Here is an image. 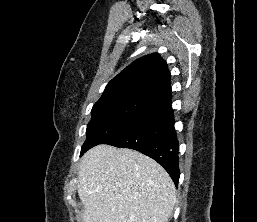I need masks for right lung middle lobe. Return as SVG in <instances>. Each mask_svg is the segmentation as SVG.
Listing matches in <instances>:
<instances>
[{
	"label": "right lung middle lobe",
	"instance_id": "dd1d6c3e",
	"mask_svg": "<svg viewBox=\"0 0 257 222\" xmlns=\"http://www.w3.org/2000/svg\"><path fill=\"white\" fill-rule=\"evenodd\" d=\"M161 109L159 104L143 99L98 100L91 111L92 117L87 126V139L81 148V155L89 148L136 126Z\"/></svg>",
	"mask_w": 257,
	"mask_h": 222
}]
</instances>
